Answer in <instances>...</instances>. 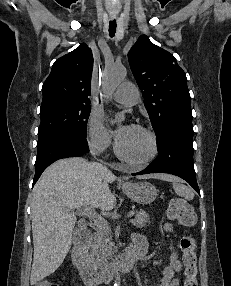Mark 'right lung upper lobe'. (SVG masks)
Here are the masks:
<instances>
[{
  "label": "right lung upper lobe",
  "mask_w": 231,
  "mask_h": 286,
  "mask_svg": "<svg viewBox=\"0 0 231 286\" xmlns=\"http://www.w3.org/2000/svg\"><path fill=\"white\" fill-rule=\"evenodd\" d=\"M93 56L86 44L55 61L43 84L41 106L56 102L90 104Z\"/></svg>",
  "instance_id": "cb5924a9"
}]
</instances>
